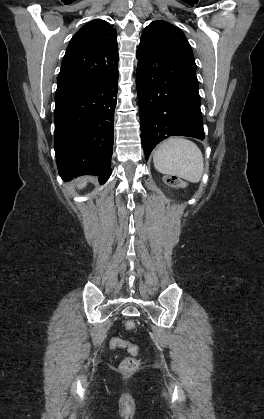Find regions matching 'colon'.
Listing matches in <instances>:
<instances>
[{
  "instance_id": "5ec220e1",
  "label": "colon",
  "mask_w": 264,
  "mask_h": 419,
  "mask_svg": "<svg viewBox=\"0 0 264 419\" xmlns=\"http://www.w3.org/2000/svg\"><path fill=\"white\" fill-rule=\"evenodd\" d=\"M173 186H182L183 182L178 177H170L167 180ZM125 327L128 330H133L136 327V323L133 320H128L125 323ZM116 348L124 347L133 355L131 357H126L120 364V369L125 373L133 372L137 369L139 361L134 356L138 355L139 348L136 345L130 344L123 339L118 338L115 342Z\"/></svg>"
}]
</instances>
